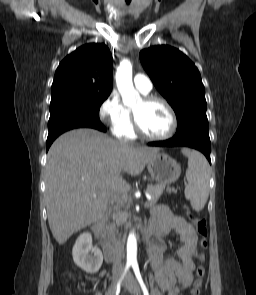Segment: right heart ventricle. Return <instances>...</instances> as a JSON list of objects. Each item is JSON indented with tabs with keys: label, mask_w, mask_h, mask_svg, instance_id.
Here are the masks:
<instances>
[{
	"label": "right heart ventricle",
	"mask_w": 256,
	"mask_h": 295,
	"mask_svg": "<svg viewBox=\"0 0 256 295\" xmlns=\"http://www.w3.org/2000/svg\"><path fill=\"white\" fill-rule=\"evenodd\" d=\"M119 137L126 138V139H134L136 137V135L133 131V127H132L131 122H130L129 126L127 127L126 131L124 133H122L121 135H119Z\"/></svg>",
	"instance_id": "1"
}]
</instances>
